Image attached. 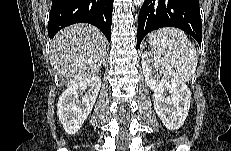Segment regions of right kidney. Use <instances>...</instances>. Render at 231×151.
I'll return each instance as SVG.
<instances>
[{"mask_svg":"<svg viewBox=\"0 0 231 151\" xmlns=\"http://www.w3.org/2000/svg\"><path fill=\"white\" fill-rule=\"evenodd\" d=\"M101 86L93 76L68 87L58 101V117L68 134H75L91 113Z\"/></svg>","mask_w":231,"mask_h":151,"instance_id":"1","label":"right kidney"}]
</instances>
